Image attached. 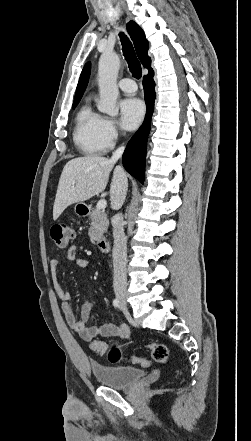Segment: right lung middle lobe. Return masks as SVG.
Masks as SVG:
<instances>
[{"label":"right lung middle lobe","mask_w":251,"mask_h":441,"mask_svg":"<svg viewBox=\"0 0 251 441\" xmlns=\"http://www.w3.org/2000/svg\"><path fill=\"white\" fill-rule=\"evenodd\" d=\"M79 103V101H74L73 102V108H75L77 106V104Z\"/></svg>","instance_id":"right-lung-middle-lobe-1"}]
</instances>
